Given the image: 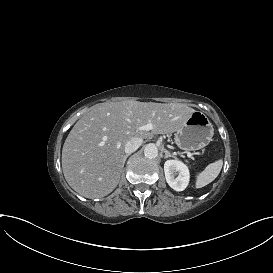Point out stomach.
<instances>
[{
  "mask_svg": "<svg viewBox=\"0 0 273 273\" xmlns=\"http://www.w3.org/2000/svg\"><path fill=\"white\" fill-rule=\"evenodd\" d=\"M214 135V128L207 116L193 112L184 125L175 133L176 145L185 151H196L207 146Z\"/></svg>",
  "mask_w": 273,
  "mask_h": 273,
  "instance_id": "0dacf381",
  "label": "stomach"
}]
</instances>
